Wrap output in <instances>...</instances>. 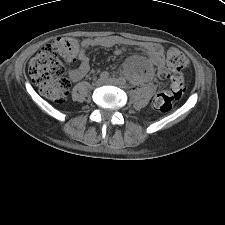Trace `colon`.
<instances>
[{
    "instance_id": "obj_1",
    "label": "colon",
    "mask_w": 225,
    "mask_h": 225,
    "mask_svg": "<svg viewBox=\"0 0 225 225\" xmlns=\"http://www.w3.org/2000/svg\"><path fill=\"white\" fill-rule=\"evenodd\" d=\"M79 54V42L70 36H62L44 45L30 61L28 73L38 86L40 93L54 103H62L69 93V82L64 77L63 62L76 61ZM187 65L185 54L179 49L167 53L166 66L159 71V76L169 78L171 88L157 93L152 101L153 107L161 112L172 109L184 92V81L180 74Z\"/></svg>"
}]
</instances>
